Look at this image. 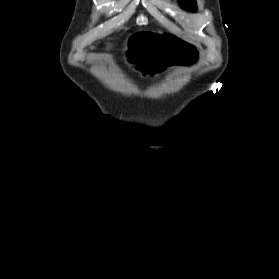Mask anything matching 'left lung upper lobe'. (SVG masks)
<instances>
[{
    "mask_svg": "<svg viewBox=\"0 0 279 279\" xmlns=\"http://www.w3.org/2000/svg\"><path fill=\"white\" fill-rule=\"evenodd\" d=\"M180 5L188 11H195L197 9L195 0H181Z\"/></svg>",
    "mask_w": 279,
    "mask_h": 279,
    "instance_id": "1",
    "label": "left lung upper lobe"
}]
</instances>
